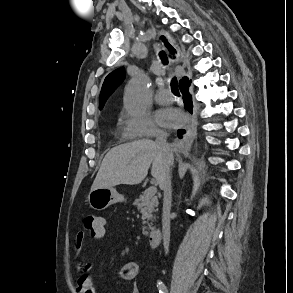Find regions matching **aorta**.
Returning <instances> with one entry per match:
<instances>
[{
  "instance_id": "762f6f07",
  "label": "aorta",
  "mask_w": 293,
  "mask_h": 293,
  "mask_svg": "<svg viewBox=\"0 0 293 293\" xmlns=\"http://www.w3.org/2000/svg\"><path fill=\"white\" fill-rule=\"evenodd\" d=\"M149 79L146 75L134 77L125 90V106L133 113H143L146 109Z\"/></svg>"
}]
</instances>
